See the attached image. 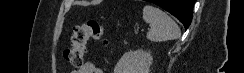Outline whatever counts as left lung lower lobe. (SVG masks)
<instances>
[{
    "instance_id": "left-lung-lower-lobe-1",
    "label": "left lung lower lobe",
    "mask_w": 244,
    "mask_h": 73,
    "mask_svg": "<svg viewBox=\"0 0 244 73\" xmlns=\"http://www.w3.org/2000/svg\"><path fill=\"white\" fill-rule=\"evenodd\" d=\"M175 17L183 23L187 29L191 23L194 0H148Z\"/></svg>"
}]
</instances>
